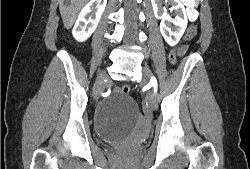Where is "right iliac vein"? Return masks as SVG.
<instances>
[{
	"label": "right iliac vein",
	"mask_w": 250,
	"mask_h": 169,
	"mask_svg": "<svg viewBox=\"0 0 250 169\" xmlns=\"http://www.w3.org/2000/svg\"><path fill=\"white\" fill-rule=\"evenodd\" d=\"M103 77H105V74H102L95 82V87L93 90L94 98H97L99 95V92L103 90Z\"/></svg>",
	"instance_id": "63e3f726"
}]
</instances>
